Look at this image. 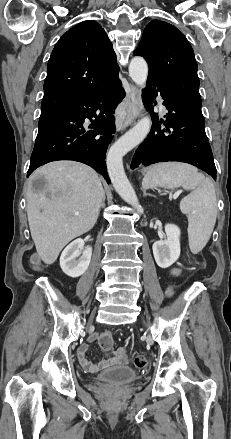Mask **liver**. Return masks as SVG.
<instances>
[{
    "label": "liver",
    "instance_id": "obj_1",
    "mask_svg": "<svg viewBox=\"0 0 231 439\" xmlns=\"http://www.w3.org/2000/svg\"><path fill=\"white\" fill-rule=\"evenodd\" d=\"M39 177H44L46 187L37 192L32 182ZM103 194L98 174L82 163L55 161L31 175L26 195L28 223L45 264H53L66 244L93 228Z\"/></svg>",
    "mask_w": 231,
    "mask_h": 439
}]
</instances>
